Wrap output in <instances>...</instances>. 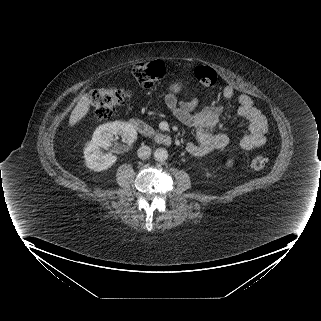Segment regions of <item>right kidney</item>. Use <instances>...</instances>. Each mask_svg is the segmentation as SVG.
Here are the masks:
<instances>
[{"mask_svg":"<svg viewBox=\"0 0 321 321\" xmlns=\"http://www.w3.org/2000/svg\"><path fill=\"white\" fill-rule=\"evenodd\" d=\"M117 135L128 144L133 143L137 138L136 130L127 122L115 121L96 128L91 141L84 149V158L89 169L103 171L114 165L117 157L111 153L103 154L102 149L107 150L111 146L110 141Z\"/></svg>","mask_w":321,"mask_h":321,"instance_id":"obj_1","label":"right kidney"}]
</instances>
